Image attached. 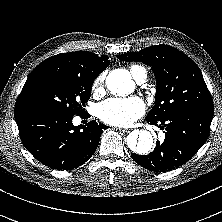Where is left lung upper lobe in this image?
Returning a JSON list of instances; mask_svg holds the SVG:
<instances>
[{"instance_id":"1","label":"left lung upper lobe","mask_w":222,"mask_h":222,"mask_svg":"<svg viewBox=\"0 0 222 222\" xmlns=\"http://www.w3.org/2000/svg\"><path fill=\"white\" fill-rule=\"evenodd\" d=\"M123 61H138L152 67L157 81L155 104L146 120L159 121L187 109L214 111L211 94L198 66L169 45H154L117 55Z\"/></svg>"}]
</instances>
